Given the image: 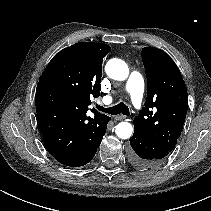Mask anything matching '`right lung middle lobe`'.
<instances>
[{
  "label": "right lung middle lobe",
  "instance_id": "obj_1",
  "mask_svg": "<svg viewBox=\"0 0 211 211\" xmlns=\"http://www.w3.org/2000/svg\"><path fill=\"white\" fill-rule=\"evenodd\" d=\"M39 82L64 90L77 98L79 97V94L73 85L66 80L62 73V69H59V67L56 65H52L48 71L45 73L43 72L39 78Z\"/></svg>",
  "mask_w": 211,
  "mask_h": 211
}]
</instances>
